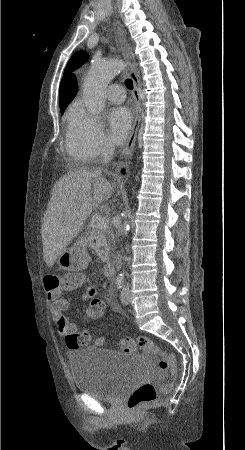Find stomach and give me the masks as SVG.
Instances as JSON below:
<instances>
[{"label":"stomach","instance_id":"0dacf381","mask_svg":"<svg viewBox=\"0 0 245 450\" xmlns=\"http://www.w3.org/2000/svg\"><path fill=\"white\" fill-rule=\"evenodd\" d=\"M88 262V254L80 242L66 249L57 259L59 267L68 271H81L87 267Z\"/></svg>","mask_w":245,"mask_h":450}]
</instances>
